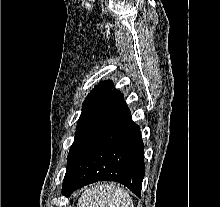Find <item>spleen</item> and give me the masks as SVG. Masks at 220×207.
<instances>
[{"instance_id":"spleen-1","label":"spleen","mask_w":220,"mask_h":207,"mask_svg":"<svg viewBox=\"0 0 220 207\" xmlns=\"http://www.w3.org/2000/svg\"><path fill=\"white\" fill-rule=\"evenodd\" d=\"M78 207H134L129 193L113 183L97 184L84 190Z\"/></svg>"}]
</instances>
